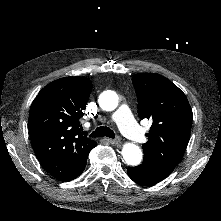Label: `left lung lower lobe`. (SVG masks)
<instances>
[{"label": "left lung lower lobe", "instance_id": "left-lung-lower-lobe-1", "mask_svg": "<svg viewBox=\"0 0 221 221\" xmlns=\"http://www.w3.org/2000/svg\"><path fill=\"white\" fill-rule=\"evenodd\" d=\"M127 173L133 181L145 186L154 185L169 175L146 159L139 166L129 167Z\"/></svg>", "mask_w": 221, "mask_h": 221}]
</instances>
